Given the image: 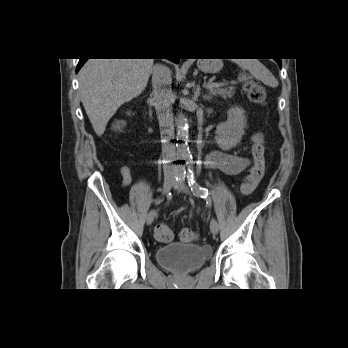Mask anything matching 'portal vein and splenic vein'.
<instances>
[{"label":"portal vein and splenic vein","mask_w":348,"mask_h":348,"mask_svg":"<svg viewBox=\"0 0 348 348\" xmlns=\"http://www.w3.org/2000/svg\"><path fill=\"white\" fill-rule=\"evenodd\" d=\"M225 83H204V86L205 87H221V86H224Z\"/></svg>","instance_id":"1"}]
</instances>
